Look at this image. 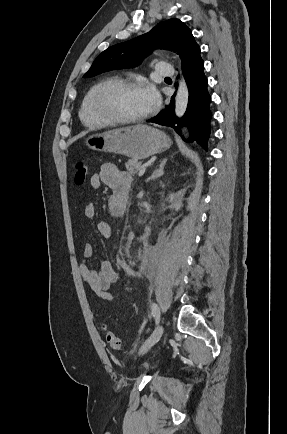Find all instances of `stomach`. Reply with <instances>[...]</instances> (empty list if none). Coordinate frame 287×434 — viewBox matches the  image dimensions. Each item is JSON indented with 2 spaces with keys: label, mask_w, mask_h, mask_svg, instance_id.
<instances>
[{
  "label": "stomach",
  "mask_w": 287,
  "mask_h": 434,
  "mask_svg": "<svg viewBox=\"0 0 287 434\" xmlns=\"http://www.w3.org/2000/svg\"><path fill=\"white\" fill-rule=\"evenodd\" d=\"M171 143L165 133L147 125L96 133L85 140L86 146L91 150L124 155L134 160L164 152Z\"/></svg>",
  "instance_id": "obj_1"
}]
</instances>
